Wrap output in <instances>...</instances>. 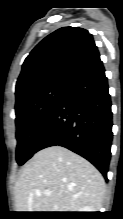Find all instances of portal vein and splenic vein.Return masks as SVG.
Returning <instances> with one entry per match:
<instances>
[{"instance_id": "18ae733b", "label": "portal vein and splenic vein", "mask_w": 123, "mask_h": 219, "mask_svg": "<svg viewBox=\"0 0 123 219\" xmlns=\"http://www.w3.org/2000/svg\"><path fill=\"white\" fill-rule=\"evenodd\" d=\"M44 194H45L46 196H49V195H51V192H50V191H45Z\"/></svg>"}]
</instances>
